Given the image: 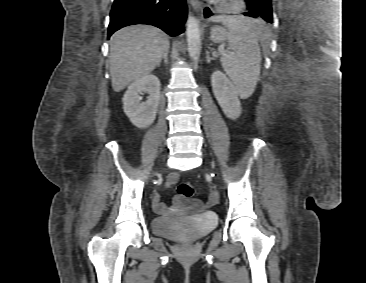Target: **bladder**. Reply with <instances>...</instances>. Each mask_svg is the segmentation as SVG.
<instances>
[{
    "label": "bladder",
    "instance_id": "obj_1",
    "mask_svg": "<svg viewBox=\"0 0 366 283\" xmlns=\"http://www.w3.org/2000/svg\"><path fill=\"white\" fill-rule=\"evenodd\" d=\"M216 226V219L207 216L191 219L156 217L151 223L156 235L179 241H195L213 231Z\"/></svg>",
    "mask_w": 366,
    "mask_h": 283
}]
</instances>
